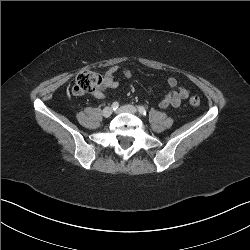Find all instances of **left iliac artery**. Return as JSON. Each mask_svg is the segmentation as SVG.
Instances as JSON below:
<instances>
[{
    "instance_id": "obj_1",
    "label": "left iliac artery",
    "mask_w": 250,
    "mask_h": 250,
    "mask_svg": "<svg viewBox=\"0 0 250 250\" xmlns=\"http://www.w3.org/2000/svg\"><path fill=\"white\" fill-rule=\"evenodd\" d=\"M138 111L142 115H146L147 114L146 109L143 106H138Z\"/></svg>"
}]
</instances>
